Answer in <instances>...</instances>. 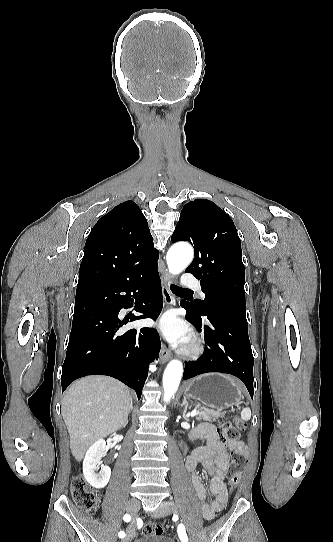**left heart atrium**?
Returning a JSON list of instances; mask_svg holds the SVG:
<instances>
[{
  "label": "left heart atrium",
  "mask_w": 333,
  "mask_h": 542,
  "mask_svg": "<svg viewBox=\"0 0 333 542\" xmlns=\"http://www.w3.org/2000/svg\"><path fill=\"white\" fill-rule=\"evenodd\" d=\"M159 327L165 337L175 347L186 345L192 335V330L189 325L178 318L172 311L163 315L159 322Z\"/></svg>",
  "instance_id": "1"
}]
</instances>
